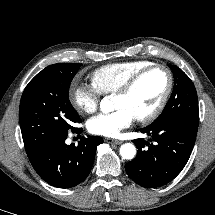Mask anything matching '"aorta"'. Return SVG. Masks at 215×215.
<instances>
[{
  "mask_svg": "<svg viewBox=\"0 0 215 215\" xmlns=\"http://www.w3.org/2000/svg\"><path fill=\"white\" fill-rule=\"evenodd\" d=\"M100 109L102 112L108 113L111 112L113 104L109 98H104L100 103ZM136 154L135 146L131 143H125L120 147V155L123 159L130 160L133 159Z\"/></svg>",
  "mask_w": 215,
  "mask_h": 215,
  "instance_id": "762f6f07",
  "label": "aorta"
}]
</instances>
